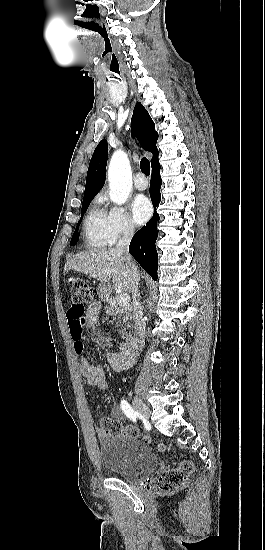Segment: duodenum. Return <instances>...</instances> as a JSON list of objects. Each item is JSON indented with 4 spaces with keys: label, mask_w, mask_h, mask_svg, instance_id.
Here are the masks:
<instances>
[{
    "label": "duodenum",
    "mask_w": 265,
    "mask_h": 550,
    "mask_svg": "<svg viewBox=\"0 0 265 550\" xmlns=\"http://www.w3.org/2000/svg\"><path fill=\"white\" fill-rule=\"evenodd\" d=\"M127 348L129 350H136L138 348V341L134 337H129L127 339Z\"/></svg>",
    "instance_id": "1"
}]
</instances>
